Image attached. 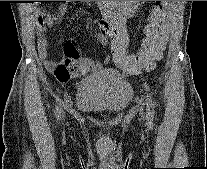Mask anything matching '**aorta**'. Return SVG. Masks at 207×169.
<instances>
[{
  "mask_svg": "<svg viewBox=\"0 0 207 169\" xmlns=\"http://www.w3.org/2000/svg\"><path fill=\"white\" fill-rule=\"evenodd\" d=\"M136 1H111L110 9L113 11H124V7H129L131 4H134Z\"/></svg>",
  "mask_w": 207,
  "mask_h": 169,
  "instance_id": "aorta-1",
  "label": "aorta"
}]
</instances>
